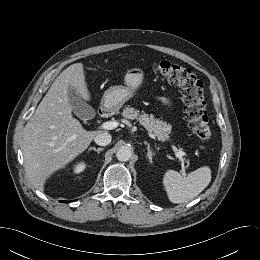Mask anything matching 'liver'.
<instances>
[{"label":"liver","instance_id":"1","mask_svg":"<svg viewBox=\"0 0 260 260\" xmlns=\"http://www.w3.org/2000/svg\"><path fill=\"white\" fill-rule=\"evenodd\" d=\"M85 101L90 92L82 63L63 70L52 83L23 130V157L29 182L44 190L46 179L84 152L99 131H86L72 116L68 88Z\"/></svg>","mask_w":260,"mask_h":260}]
</instances>
